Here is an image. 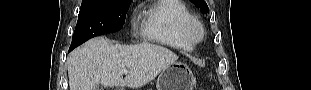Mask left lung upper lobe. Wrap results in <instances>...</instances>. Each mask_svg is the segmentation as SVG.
I'll use <instances>...</instances> for the list:
<instances>
[{
	"label": "left lung upper lobe",
	"instance_id": "left-lung-upper-lobe-1",
	"mask_svg": "<svg viewBox=\"0 0 311 90\" xmlns=\"http://www.w3.org/2000/svg\"><path fill=\"white\" fill-rule=\"evenodd\" d=\"M197 7H200L202 13H207L208 6L204 0H191Z\"/></svg>",
	"mask_w": 311,
	"mask_h": 90
}]
</instances>
